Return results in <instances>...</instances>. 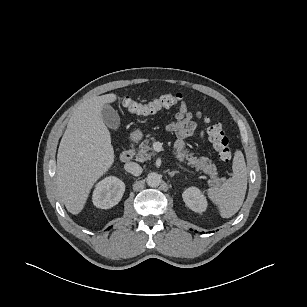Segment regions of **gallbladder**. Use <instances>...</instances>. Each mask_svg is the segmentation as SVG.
Instances as JSON below:
<instances>
[{
	"label": "gallbladder",
	"mask_w": 307,
	"mask_h": 307,
	"mask_svg": "<svg viewBox=\"0 0 307 307\" xmlns=\"http://www.w3.org/2000/svg\"><path fill=\"white\" fill-rule=\"evenodd\" d=\"M102 119L104 123L111 129L117 130L120 126V117L117 111L110 105L105 104L102 108Z\"/></svg>",
	"instance_id": "obj_1"
}]
</instances>
